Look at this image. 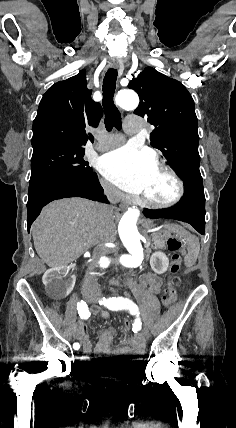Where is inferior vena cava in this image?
Segmentation results:
<instances>
[{"label":"inferior vena cava","instance_id":"1","mask_svg":"<svg viewBox=\"0 0 236 428\" xmlns=\"http://www.w3.org/2000/svg\"><path fill=\"white\" fill-rule=\"evenodd\" d=\"M103 188L105 190L106 196H108V200L110 202H114V196L116 194L115 188L111 186V184H107V182H102ZM113 210L114 206H101V214L102 216H106L104 223L107 226H110L113 223L114 217H113ZM95 241H100V236H95ZM104 250L106 249H100L97 248L94 250V254L92 255V264H95V267L98 265L97 261L99 260L100 256L104 255ZM93 265L89 266L90 270H93L95 268ZM85 280H84V286L82 287V295L86 296L87 298L90 297H97L98 293L101 291L99 290V282H97V278L94 276L91 277L89 272L85 273Z\"/></svg>","mask_w":236,"mask_h":428}]
</instances>
